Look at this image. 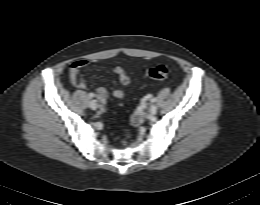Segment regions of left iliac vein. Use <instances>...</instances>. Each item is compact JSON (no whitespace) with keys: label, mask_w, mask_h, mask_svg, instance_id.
Segmentation results:
<instances>
[{"label":"left iliac vein","mask_w":260,"mask_h":205,"mask_svg":"<svg viewBox=\"0 0 260 205\" xmlns=\"http://www.w3.org/2000/svg\"><path fill=\"white\" fill-rule=\"evenodd\" d=\"M156 112H157V106L155 104L150 105V107H149V114L150 115H155Z\"/></svg>","instance_id":"left-iliac-vein-1"}]
</instances>
